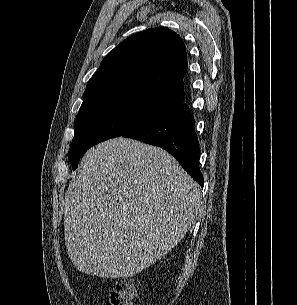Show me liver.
Listing matches in <instances>:
<instances>
[{
	"mask_svg": "<svg viewBox=\"0 0 297 305\" xmlns=\"http://www.w3.org/2000/svg\"><path fill=\"white\" fill-rule=\"evenodd\" d=\"M201 208L199 185L168 152L107 140L86 153L66 192L67 253L85 274L134 276L184 238Z\"/></svg>",
	"mask_w": 297,
	"mask_h": 305,
	"instance_id": "obj_1",
	"label": "liver"
}]
</instances>
